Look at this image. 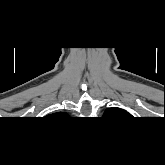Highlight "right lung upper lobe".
I'll return each mask as SVG.
<instances>
[{"mask_svg": "<svg viewBox=\"0 0 165 165\" xmlns=\"http://www.w3.org/2000/svg\"><path fill=\"white\" fill-rule=\"evenodd\" d=\"M63 115H65V113L59 112V113H53L49 117H59V116H63Z\"/></svg>", "mask_w": 165, "mask_h": 165, "instance_id": "right-lung-upper-lobe-1", "label": "right lung upper lobe"}]
</instances>
